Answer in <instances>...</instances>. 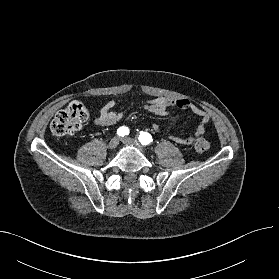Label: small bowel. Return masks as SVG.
<instances>
[{"mask_svg": "<svg viewBox=\"0 0 279 279\" xmlns=\"http://www.w3.org/2000/svg\"><path fill=\"white\" fill-rule=\"evenodd\" d=\"M115 102L110 100L106 102L100 109L99 113L94 117L93 123L99 127L116 125L124 116L123 112L114 111ZM143 109L154 115H167L170 108H180L190 111L192 114L200 118V123L197 126L194 135L189 137L170 136V139L182 146L191 145L195 139L201 137L205 131V124L209 121V115L206 111L198 107L188 99L158 97L147 100L142 103ZM153 130L158 131L159 125L153 124Z\"/></svg>", "mask_w": 279, "mask_h": 279, "instance_id": "small-bowel-1", "label": "small bowel"}]
</instances>
